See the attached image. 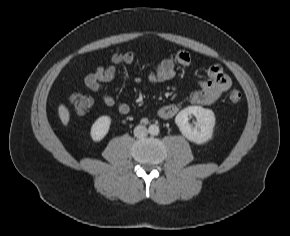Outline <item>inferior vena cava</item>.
Wrapping results in <instances>:
<instances>
[{
  "label": "inferior vena cava",
  "mask_w": 290,
  "mask_h": 236,
  "mask_svg": "<svg viewBox=\"0 0 290 236\" xmlns=\"http://www.w3.org/2000/svg\"><path fill=\"white\" fill-rule=\"evenodd\" d=\"M148 133V130L143 125H138L134 128V135L138 138L145 137Z\"/></svg>",
  "instance_id": "1"
}]
</instances>
